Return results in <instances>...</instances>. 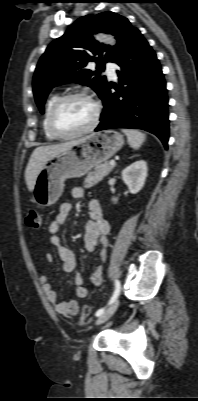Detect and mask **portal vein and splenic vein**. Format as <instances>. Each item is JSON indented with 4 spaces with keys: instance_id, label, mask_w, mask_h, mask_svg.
<instances>
[{
    "instance_id": "obj_1",
    "label": "portal vein and splenic vein",
    "mask_w": 198,
    "mask_h": 401,
    "mask_svg": "<svg viewBox=\"0 0 198 401\" xmlns=\"http://www.w3.org/2000/svg\"><path fill=\"white\" fill-rule=\"evenodd\" d=\"M109 164H110L111 166H114V165H115V161H114V160H111Z\"/></svg>"
}]
</instances>
